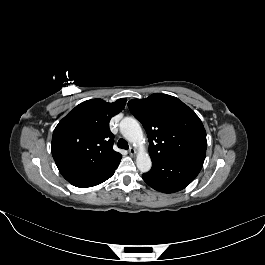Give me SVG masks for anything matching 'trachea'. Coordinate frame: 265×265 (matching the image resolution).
I'll return each instance as SVG.
<instances>
[{"instance_id":"1","label":"trachea","mask_w":265,"mask_h":265,"mask_svg":"<svg viewBox=\"0 0 265 265\" xmlns=\"http://www.w3.org/2000/svg\"><path fill=\"white\" fill-rule=\"evenodd\" d=\"M118 147L121 148V149H125V150L129 149L128 143L122 138L119 139V141H118Z\"/></svg>"}]
</instances>
